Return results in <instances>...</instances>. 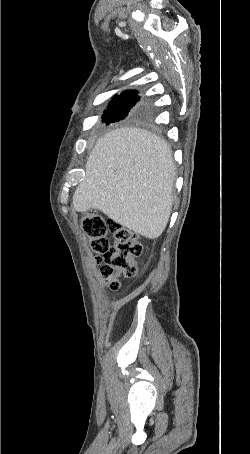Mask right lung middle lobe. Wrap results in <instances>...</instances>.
I'll list each match as a JSON object with an SVG mask.
<instances>
[{"mask_svg":"<svg viewBox=\"0 0 250 454\" xmlns=\"http://www.w3.org/2000/svg\"><path fill=\"white\" fill-rule=\"evenodd\" d=\"M102 115V121L109 124L117 122L148 121L152 117L149 103L138 95V91H126L115 96Z\"/></svg>","mask_w":250,"mask_h":454,"instance_id":"obj_1","label":"right lung middle lobe"}]
</instances>
